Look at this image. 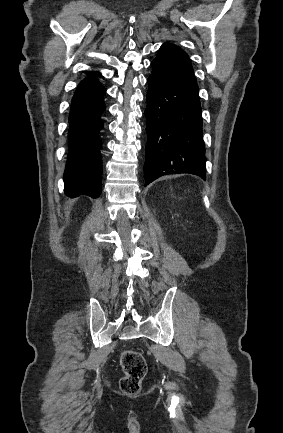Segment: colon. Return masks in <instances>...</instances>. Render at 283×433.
Masks as SVG:
<instances>
[{"label": "colon", "mask_w": 283, "mask_h": 433, "mask_svg": "<svg viewBox=\"0 0 283 433\" xmlns=\"http://www.w3.org/2000/svg\"><path fill=\"white\" fill-rule=\"evenodd\" d=\"M124 376L120 380V389L128 395H135L141 390V383L147 373L144 356L135 350H125L120 358Z\"/></svg>", "instance_id": "1"}]
</instances>
